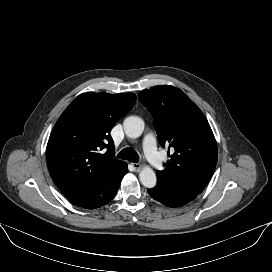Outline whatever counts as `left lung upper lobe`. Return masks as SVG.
<instances>
[{"label":"left lung upper lobe","mask_w":272,"mask_h":272,"mask_svg":"<svg viewBox=\"0 0 272 272\" xmlns=\"http://www.w3.org/2000/svg\"><path fill=\"white\" fill-rule=\"evenodd\" d=\"M152 113L162 147L174 149L166 168L157 171V182L176 184L201 192L217 164V144L198 106L180 89L155 86L138 94Z\"/></svg>","instance_id":"left-lung-upper-lobe-1"}]
</instances>
